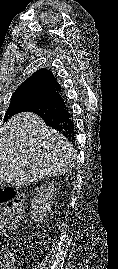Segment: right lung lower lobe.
<instances>
[{
  "label": "right lung lower lobe",
  "instance_id": "98d812e1",
  "mask_svg": "<svg viewBox=\"0 0 118 269\" xmlns=\"http://www.w3.org/2000/svg\"><path fill=\"white\" fill-rule=\"evenodd\" d=\"M24 111L39 115L47 125L59 130L66 137L74 139L75 125L73 116L65 96L60 92L29 106Z\"/></svg>",
  "mask_w": 118,
  "mask_h": 269
}]
</instances>
